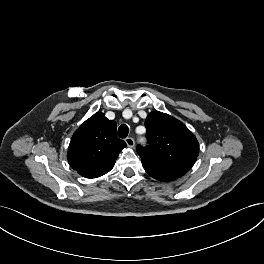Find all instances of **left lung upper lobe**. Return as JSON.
Segmentation results:
<instances>
[{
    "label": "left lung upper lobe",
    "mask_w": 264,
    "mask_h": 264,
    "mask_svg": "<svg viewBox=\"0 0 264 264\" xmlns=\"http://www.w3.org/2000/svg\"><path fill=\"white\" fill-rule=\"evenodd\" d=\"M148 146H137L141 161L187 172L199 154V144L191 131L174 117L159 112L148 114Z\"/></svg>",
    "instance_id": "1"
}]
</instances>
